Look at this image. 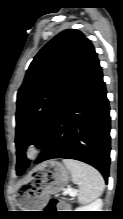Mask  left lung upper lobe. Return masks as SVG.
<instances>
[{"label":"left lung upper lobe","instance_id":"1","mask_svg":"<svg viewBox=\"0 0 123 219\" xmlns=\"http://www.w3.org/2000/svg\"><path fill=\"white\" fill-rule=\"evenodd\" d=\"M97 59L79 30L66 29L50 40L31 62L17 94V174L28 166L26 147H42L63 101L84 71Z\"/></svg>","mask_w":123,"mask_h":219}]
</instances>
